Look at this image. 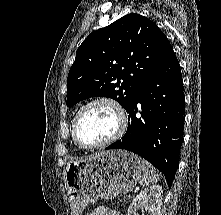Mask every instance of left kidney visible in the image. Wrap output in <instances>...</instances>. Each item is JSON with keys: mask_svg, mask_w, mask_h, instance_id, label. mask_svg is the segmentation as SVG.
Here are the masks:
<instances>
[{"mask_svg": "<svg viewBox=\"0 0 221 215\" xmlns=\"http://www.w3.org/2000/svg\"><path fill=\"white\" fill-rule=\"evenodd\" d=\"M162 193L160 185H153L141 190L129 206L128 215H138L137 211L142 208L148 212V215H160Z\"/></svg>", "mask_w": 221, "mask_h": 215, "instance_id": "left-kidney-1", "label": "left kidney"}]
</instances>
